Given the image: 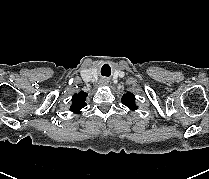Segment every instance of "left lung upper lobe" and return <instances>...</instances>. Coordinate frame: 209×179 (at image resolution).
Returning a JSON list of instances; mask_svg holds the SVG:
<instances>
[{
    "mask_svg": "<svg viewBox=\"0 0 209 179\" xmlns=\"http://www.w3.org/2000/svg\"><path fill=\"white\" fill-rule=\"evenodd\" d=\"M121 101L131 110H136L138 108L135 104V96L131 92L124 94Z\"/></svg>",
    "mask_w": 209,
    "mask_h": 179,
    "instance_id": "1",
    "label": "left lung upper lobe"
}]
</instances>
